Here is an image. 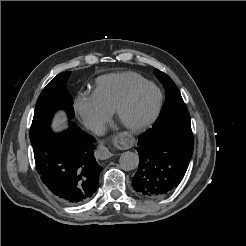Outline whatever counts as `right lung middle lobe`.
I'll use <instances>...</instances> for the list:
<instances>
[{"label":"right lung middle lobe","instance_id":"1","mask_svg":"<svg viewBox=\"0 0 246 246\" xmlns=\"http://www.w3.org/2000/svg\"><path fill=\"white\" fill-rule=\"evenodd\" d=\"M70 72H63L54 77L41 92L35 106L34 117L30 129V140L50 128L54 113L63 109L68 118L74 116L71 96L66 91V82Z\"/></svg>","mask_w":246,"mask_h":246}]
</instances>
